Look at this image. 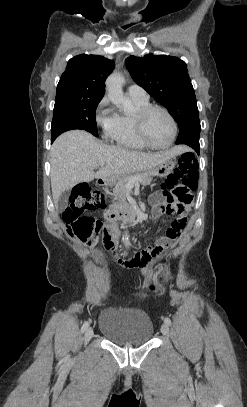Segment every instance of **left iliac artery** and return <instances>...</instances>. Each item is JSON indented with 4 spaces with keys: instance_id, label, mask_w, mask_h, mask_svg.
<instances>
[{
    "instance_id": "44dca946",
    "label": "left iliac artery",
    "mask_w": 247,
    "mask_h": 407,
    "mask_svg": "<svg viewBox=\"0 0 247 407\" xmlns=\"http://www.w3.org/2000/svg\"><path fill=\"white\" fill-rule=\"evenodd\" d=\"M164 321H165V323H167L168 325H171V320H170V318L166 317V318L164 319Z\"/></svg>"
}]
</instances>
